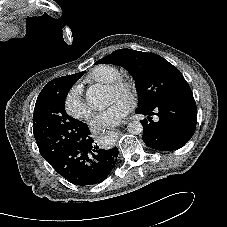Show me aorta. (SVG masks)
Instances as JSON below:
<instances>
[{
  "label": "aorta",
  "mask_w": 227,
  "mask_h": 227,
  "mask_svg": "<svg viewBox=\"0 0 227 227\" xmlns=\"http://www.w3.org/2000/svg\"><path fill=\"white\" fill-rule=\"evenodd\" d=\"M103 88L96 84L90 86L86 91V99L92 107H100L105 103ZM127 130L130 134L140 135L143 132V125L139 121H132L128 124Z\"/></svg>",
  "instance_id": "obj_1"
}]
</instances>
